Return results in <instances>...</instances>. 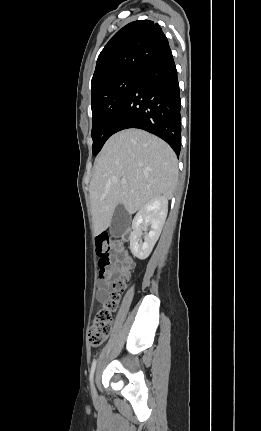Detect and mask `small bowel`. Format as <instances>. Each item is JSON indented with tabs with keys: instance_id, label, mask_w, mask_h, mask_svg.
<instances>
[{
	"instance_id": "1",
	"label": "small bowel",
	"mask_w": 261,
	"mask_h": 431,
	"mask_svg": "<svg viewBox=\"0 0 261 431\" xmlns=\"http://www.w3.org/2000/svg\"><path fill=\"white\" fill-rule=\"evenodd\" d=\"M125 252L122 250L118 256L123 255ZM117 256V257H118ZM117 263L115 262L110 267L105 268L102 273L99 272V282H98V289H97V300L100 303H105L108 300V297L112 290V285L115 280L116 275V269H117Z\"/></svg>"
}]
</instances>
